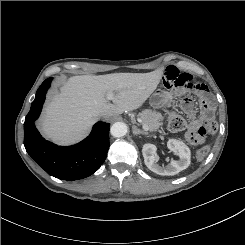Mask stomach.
<instances>
[{
  "mask_svg": "<svg viewBox=\"0 0 245 245\" xmlns=\"http://www.w3.org/2000/svg\"><path fill=\"white\" fill-rule=\"evenodd\" d=\"M171 100V95L163 87L157 88L149 99V103L154 108H162Z\"/></svg>",
  "mask_w": 245,
  "mask_h": 245,
  "instance_id": "obj_1",
  "label": "stomach"
}]
</instances>
